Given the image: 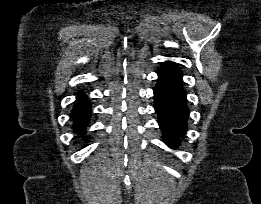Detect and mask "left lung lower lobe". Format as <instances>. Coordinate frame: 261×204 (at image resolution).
I'll use <instances>...</instances> for the list:
<instances>
[{"label":"left lung lower lobe","instance_id":"0a47b994","mask_svg":"<svg viewBox=\"0 0 261 204\" xmlns=\"http://www.w3.org/2000/svg\"><path fill=\"white\" fill-rule=\"evenodd\" d=\"M154 108L166 144L176 148L187 131L189 109L181 71L172 62H164L158 72Z\"/></svg>","mask_w":261,"mask_h":204}]
</instances>
